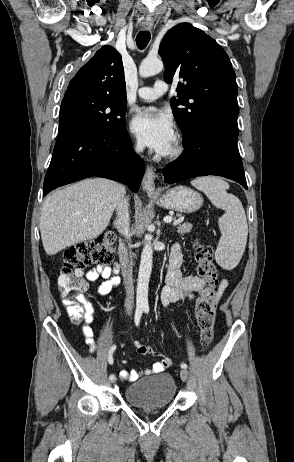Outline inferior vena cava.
<instances>
[{"label":"inferior vena cava","instance_id":"obj_1","mask_svg":"<svg viewBox=\"0 0 294 462\" xmlns=\"http://www.w3.org/2000/svg\"><path fill=\"white\" fill-rule=\"evenodd\" d=\"M144 145L142 143H138L136 146V151L138 153L142 152ZM116 221L115 226L121 233H127L129 230L130 224V217H129V202L128 199L123 196L117 206H116ZM121 262L123 265L127 262V253L126 250L123 249V255L121 256ZM123 279H124V286H125V310L126 313L131 314L134 308V292H133V283H132V275L131 270L127 269L123 272Z\"/></svg>","mask_w":294,"mask_h":462}]
</instances>
